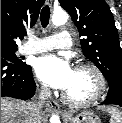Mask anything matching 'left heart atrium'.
<instances>
[{
    "instance_id": "obj_1",
    "label": "left heart atrium",
    "mask_w": 122,
    "mask_h": 123,
    "mask_svg": "<svg viewBox=\"0 0 122 123\" xmlns=\"http://www.w3.org/2000/svg\"><path fill=\"white\" fill-rule=\"evenodd\" d=\"M35 70L43 83L64 91L71 85L75 73L67 58L54 54L39 57L35 64Z\"/></svg>"
}]
</instances>
